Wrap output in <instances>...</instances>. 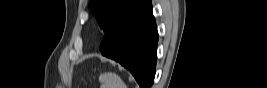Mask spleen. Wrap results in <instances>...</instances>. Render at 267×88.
I'll return each mask as SVG.
<instances>
[{
  "label": "spleen",
  "mask_w": 267,
  "mask_h": 88,
  "mask_svg": "<svg viewBox=\"0 0 267 88\" xmlns=\"http://www.w3.org/2000/svg\"><path fill=\"white\" fill-rule=\"evenodd\" d=\"M103 88H127L122 79L115 73L101 75Z\"/></svg>",
  "instance_id": "spleen-1"
}]
</instances>
